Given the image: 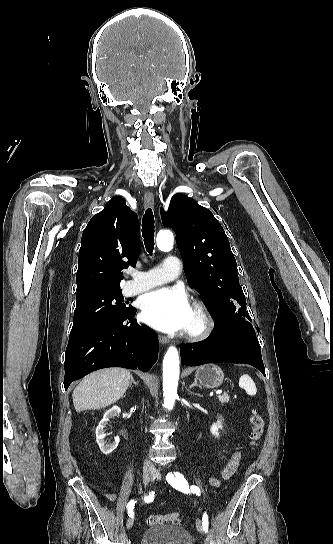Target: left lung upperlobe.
I'll list each match as a JSON object with an SVG mask.
<instances>
[{"label": "left lung upper lobe", "instance_id": "obj_1", "mask_svg": "<svg viewBox=\"0 0 333 544\" xmlns=\"http://www.w3.org/2000/svg\"><path fill=\"white\" fill-rule=\"evenodd\" d=\"M164 226L176 232L186 264L187 281L211 306L217 325H248L246 299L239 284L237 263L223 227L212 212L183 194L172 197Z\"/></svg>", "mask_w": 333, "mask_h": 544}]
</instances>
